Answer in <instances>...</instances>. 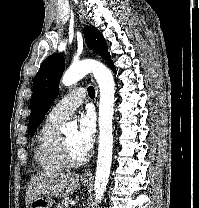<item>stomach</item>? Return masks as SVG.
I'll return each instance as SVG.
<instances>
[{"label":"stomach","instance_id":"0dacf381","mask_svg":"<svg viewBox=\"0 0 199 208\" xmlns=\"http://www.w3.org/2000/svg\"><path fill=\"white\" fill-rule=\"evenodd\" d=\"M82 184L84 186H88L89 182L82 180ZM52 204H53V201L50 196L42 195V196H39L36 199H34L30 203L28 208H51Z\"/></svg>","mask_w":199,"mask_h":208}]
</instances>
